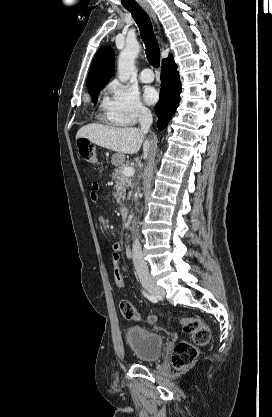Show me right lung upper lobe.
I'll list each match as a JSON object with an SVG mask.
<instances>
[{
  "label": "right lung upper lobe",
  "instance_id": "cb5924a9",
  "mask_svg": "<svg viewBox=\"0 0 272 417\" xmlns=\"http://www.w3.org/2000/svg\"><path fill=\"white\" fill-rule=\"evenodd\" d=\"M114 72V55L111 47H102L96 53L87 79L88 91L102 89Z\"/></svg>",
  "mask_w": 272,
  "mask_h": 417
}]
</instances>
